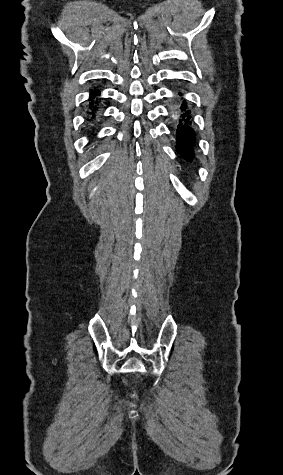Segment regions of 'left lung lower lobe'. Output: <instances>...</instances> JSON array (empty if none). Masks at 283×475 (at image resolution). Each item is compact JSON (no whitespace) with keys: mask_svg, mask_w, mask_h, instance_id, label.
Listing matches in <instances>:
<instances>
[{"mask_svg":"<svg viewBox=\"0 0 283 475\" xmlns=\"http://www.w3.org/2000/svg\"><path fill=\"white\" fill-rule=\"evenodd\" d=\"M181 109L182 111L187 109L186 101H184ZM182 120L184 124H180L176 132L177 151L187 162L191 163L196 156L197 139L190 110L182 115Z\"/></svg>","mask_w":283,"mask_h":475,"instance_id":"1","label":"left lung lower lobe"}]
</instances>
